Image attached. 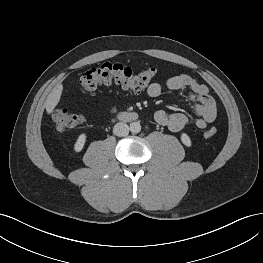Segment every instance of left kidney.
<instances>
[{
  "label": "left kidney",
  "mask_w": 263,
  "mask_h": 263,
  "mask_svg": "<svg viewBox=\"0 0 263 263\" xmlns=\"http://www.w3.org/2000/svg\"><path fill=\"white\" fill-rule=\"evenodd\" d=\"M180 139H181V142H182L185 146H187V147H190V146H191V139H190V137H189L186 133H182Z\"/></svg>",
  "instance_id": "obj_1"
}]
</instances>
